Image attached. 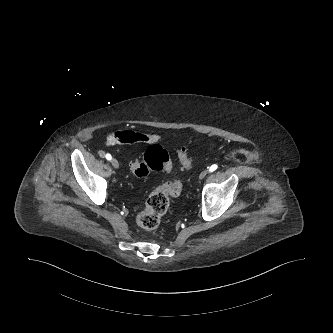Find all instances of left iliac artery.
I'll return each mask as SVG.
<instances>
[{
  "mask_svg": "<svg viewBox=\"0 0 333 333\" xmlns=\"http://www.w3.org/2000/svg\"><path fill=\"white\" fill-rule=\"evenodd\" d=\"M218 168V166L216 164H213L210 168H209V172H213Z\"/></svg>",
  "mask_w": 333,
  "mask_h": 333,
  "instance_id": "44dca946",
  "label": "left iliac artery"
}]
</instances>
